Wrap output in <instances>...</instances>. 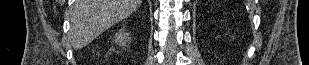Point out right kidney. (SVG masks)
I'll return each mask as SVG.
<instances>
[{
    "label": "right kidney",
    "mask_w": 309,
    "mask_h": 65,
    "mask_svg": "<svg viewBox=\"0 0 309 65\" xmlns=\"http://www.w3.org/2000/svg\"><path fill=\"white\" fill-rule=\"evenodd\" d=\"M128 38H129V33L125 32L124 30H121L115 36V43L119 44L120 46H125L126 40Z\"/></svg>",
    "instance_id": "obj_1"
}]
</instances>
